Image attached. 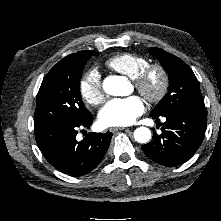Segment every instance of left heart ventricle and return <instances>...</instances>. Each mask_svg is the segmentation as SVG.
<instances>
[{"instance_id":"b2bd125f","label":"left heart ventricle","mask_w":221,"mask_h":221,"mask_svg":"<svg viewBox=\"0 0 221 221\" xmlns=\"http://www.w3.org/2000/svg\"><path fill=\"white\" fill-rule=\"evenodd\" d=\"M157 86H158V78L156 76H154L151 81V88L156 89Z\"/></svg>"}]
</instances>
